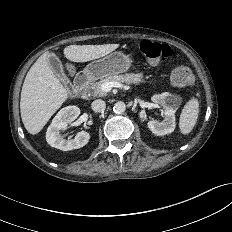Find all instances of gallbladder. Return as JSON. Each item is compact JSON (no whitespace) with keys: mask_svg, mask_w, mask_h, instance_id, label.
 Returning <instances> with one entry per match:
<instances>
[{"mask_svg":"<svg viewBox=\"0 0 232 232\" xmlns=\"http://www.w3.org/2000/svg\"><path fill=\"white\" fill-rule=\"evenodd\" d=\"M47 61H48L49 67L54 72V74L57 75V77H59V79L62 82L68 84L69 83V79L66 76V74L64 73L62 62L58 58V56L56 54H54V53H49V55L47 57Z\"/></svg>","mask_w":232,"mask_h":232,"instance_id":"bac80fb5","label":"gallbladder"}]
</instances>
